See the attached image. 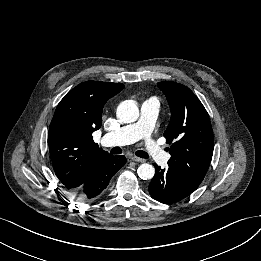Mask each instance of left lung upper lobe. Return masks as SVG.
Wrapping results in <instances>:
<instances>
[{
  "label": "left lung upper lobe",
  "mask_w": 261,
  "mask_h": 261,
  "mask_svg": "<svg viewBox=\"0 0 261 261\" xmlns=\"http://www.w3.org/2000/svg\"><path fill=\"white\" fill-rule=\"evenodd\" d=\"M171 109V119L164 133L172 144L168 166L182 183L195 190L207 173L213 153V131L208 113L200 100L186 86L170 81L159 82Z\"/></svg>",
  "instance_id": "obj_1"
}]
</instances>
